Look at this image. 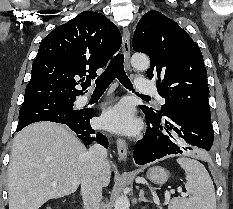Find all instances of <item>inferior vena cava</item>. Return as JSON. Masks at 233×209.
<instances>
[{"label": "inferior vena cava", "mask_w": 233, "mask_h": 209, "mask_svg": "<svg viewBox=\"0 0 233 209\" xmlns=\"http://www.w3.org/2000/svg\"><path fill=\"white\" fill-rule=\"evenodd\" d=\"M107 150L94 144L85 156L81 178V194L84 209H99L102 199V170L107 163Z\"/></svg>", "instance_id": "602c4592"}]
</instances>
